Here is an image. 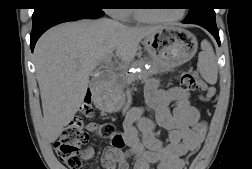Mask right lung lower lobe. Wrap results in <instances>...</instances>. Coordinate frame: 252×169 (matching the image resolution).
<instances>
[{
  "instance_id": "obj_1",
  "label": "right lung lower lobe",
  "mask_w": 252,
  "mask_h": 169,
  "mask_svg": "<svg viewBox=\"0 0 252 169\" xmlns=\"http://www.w3.org/2000/svg\"><path fill=\"white\" fill-rule=\"evenodd\" d=\"M103 15V11L78 4L75 0H49L45 7L35 10L33 13L30 35L31 51L33 52L39 37L52 26L79 19H97Z\"/></svg>"
}]
</instances>
